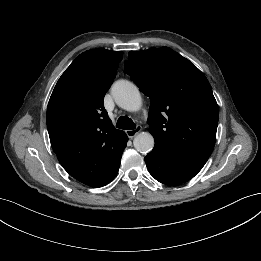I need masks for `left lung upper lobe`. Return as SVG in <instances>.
<instances>
[{"label": "left lung upper lobe", "instance_id": "1", "mask_svg": "<svg viewBox=\"0 0 261 261\" xmlns=\"http://www.w3.org/2000/svg\"><path fill=\"white\" fill-rule=\"evenodd\" d=\"M124 69L151 100L154 147L177 156L209 158L219 111L205 75L168 47L130 51Z\"/></svg>", "mask_w": 261, "mask_h": 261}]
</instances>
